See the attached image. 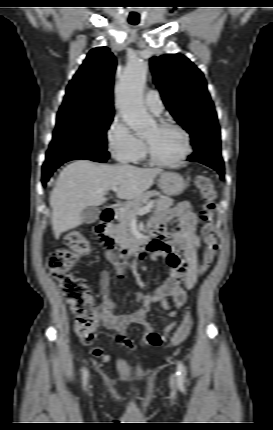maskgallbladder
Segmentation results:
<instances>
[{"mask_svg": "<svg viewBox=\"0 0 273 430\" xmlns=\"http://www.w3.org/2000/svg\"><path fill=\"white\" fill-rule=\"evenodd\" d=\"M100 209L94 206H88L84 209L82 217L83 222L86 224L94 223L99 219Z\"/></svg>", "mask_w": 273, "mask_h": 430, "instance_id": "bac80fb5", "label": "gallbladder"}]
</instances>
